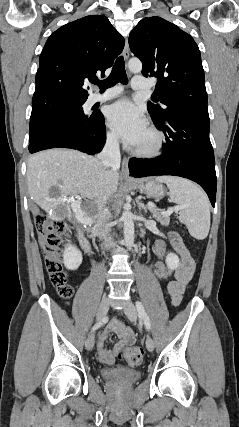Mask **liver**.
<instances>
[{
    "mask_svg": "<svg viewBox=\"0 0 239 427\" xmlns=\"http://www.w3.org/2000/svg\"><path fill=\"white\" fill-rule=\"evenodd\" d=\"M119 174L102 165L97 157L77 150L49 149L32 155L27 165L28 192L33 201L45 210L51 220L59 221L72 215L68 196L93 200L87 213L80 203L72 206L75 215L99 218L103 208L117 192ZM57 186L58 193H51Z\"/></svg>",
    "mask_w": 239,
    "mask_h": 427,
    "instance_id": "obj_1",
    "label": "liver"
}]
</instances>
